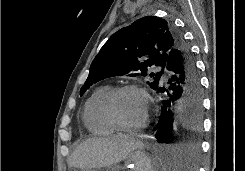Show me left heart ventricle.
Wrapping results in <instances>:
<instances>
[{
  "instance_id": "b2bd125f",
  "label": "left heart ventricle",
  "mask_w": 245,
  "mask_h": 171,
  "mask_svg": "<svg viewBox=\"0 0 245 171\" xmlns=\"http://www.w3.org/2000/svg\"><path fill=\"white\" fill-rule=\"evenodd\" d=\"M116 110L123 123L136 125L144 119L147 103L142 94L136 91H127L118 97Z\"/></svg>"
}]
</instances>
